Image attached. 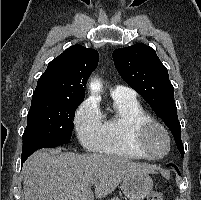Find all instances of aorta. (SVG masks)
I'll use <instances>...</instances> for the list:
<instances>
[{
	"instance_id": "762f6f07",
	"label": "aorta",
	"mask_w": 201,
	"mask_h": 200,
	"mask_svg": "<svg viewBox=\"0 0 201 200\" xmlns=\"http://www.w3.org/2000/svg\"><path fill=\"white\" fill-rule=\"evenodd\" d=\"M90 89L92 93H97L101 89V83L98 80H93L90 84Z\"/></svg>"
}]
</instances>
